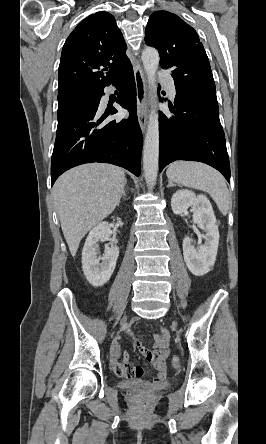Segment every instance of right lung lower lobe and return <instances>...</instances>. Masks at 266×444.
Wrapping results in <instances>:
<instances>
[{"instance_id": "1", "label": "right lung lower lobe", "mask_w": 266, "mask_h": 444, "mask_svg": "<svg viewBox=\"0 0 266 444\" xmlns=\"http://www.w3.org/2000/svg\"><path fill=\"white\" fill-rule=\"evenodd\" d=\"M111 83L119 90L116 102L129 110V117L121 121H104L117 110L113 108L102 114V89L91 107L58 123L51 159L52 186L66 170L92 162L114 164L140 175L142 133L137 119L136 85L131 63Z\"/></svg>"}]
</instances>
